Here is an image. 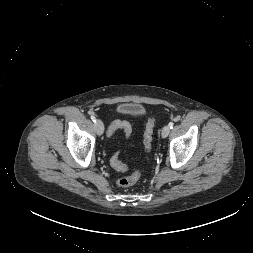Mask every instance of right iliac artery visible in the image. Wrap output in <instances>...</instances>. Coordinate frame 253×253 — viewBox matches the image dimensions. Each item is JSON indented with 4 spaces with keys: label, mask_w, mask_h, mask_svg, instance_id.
I'll return each instance as SVG.
<instances>
[{
    "label": "right iliac artery",
    "mask_w": 253,
    "mask_h": 253,
    "mask_svg": "<svg viewBox=\"0 0 253 253\" xmlns=\"http://www.w3.org/2000/svg\"><path fill=\"white\" fill-rule=\"evenodd\" d=\"M91 119H92L93 122H96L95 116L92 115V116H91Z\"/></svg>",
    "instance_id": "right-iliac-artery-1"
}]
</instances>
